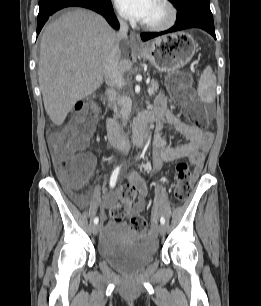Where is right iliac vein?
Returning <instances> with one entry per match:
<instances>
[{"label":"right iliac vein","instance_id":"right-iliac-vein-1","mask_svg":"<svg viewBox=\"0 0 261 306\" xmlns=\"http://www.w3.org/2000/svg\"><path fill=\"white\" fill-rule=\"evenodd\" d=\"M100 230V226L98 224L93 225L92 232L94 235H97Z\"/></svg>","mask_w":261,"mask_h":306}]
</instances>
